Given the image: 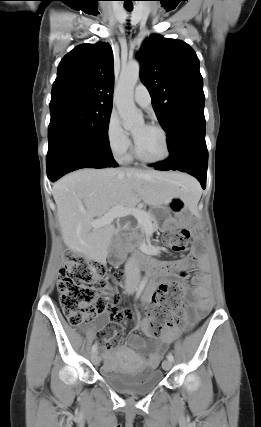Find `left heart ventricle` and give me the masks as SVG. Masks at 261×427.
<instances>
[{
	"instance_id": "b2bd125f",
	"label": "left heart ventricle",
	"mask_w": 261,
	"mask_h": 427,
	"mask_svg": "<svg viewBox=\"0 0 261 427\" xmlns=\"http://www.w3.org/2000/svg\"><path fill=\"white\" fill-rule=\"evenodd\" d=\"M138 153L147 159H158L165 154V144L161 133L144 124L136 126L133 131Z\"/></svg>"
}]
</instances>
